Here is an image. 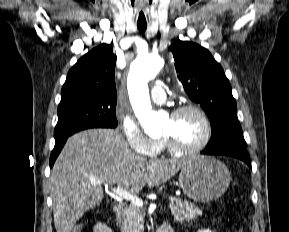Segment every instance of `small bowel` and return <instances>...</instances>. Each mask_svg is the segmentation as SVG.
Instances as JSON below:
<instances>
[{
	"instance_id": "1",
	"label": "small bowel",
	"mask_w": 289,
	"mask_h": 232,
	"mask_svg": "<svg viewBox=\"0 0 289 232\" xmlns=\"http://www.w3.org/2000/svg\"><path fill=\"white\" fill-rule=\"evenodd\" d=\"M93 232H113V231L107 224L98 222L94 225Z\"/></svg>"
}]
</instances>
